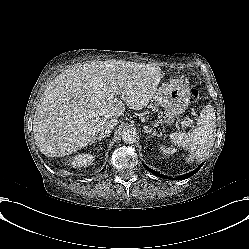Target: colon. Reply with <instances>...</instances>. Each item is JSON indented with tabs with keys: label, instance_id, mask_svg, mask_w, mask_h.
<instances>
[{
	"label": "colon",
	"instance_id": "obj_1",
	"mask_svg": "<svg viewBox=\"0 0 249 249\" xmlns=\"http://www.w3.org/2000/svg\"><path fill=\"white\" fill-rule=\"evenodd\" d=\"M192 94L195 96V97H198L199 93L196 89H193L192 90Z\"/></svg>",
	"mask_w": 249,
	"mask_h": 249
}]
</instances>
